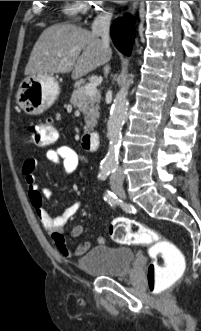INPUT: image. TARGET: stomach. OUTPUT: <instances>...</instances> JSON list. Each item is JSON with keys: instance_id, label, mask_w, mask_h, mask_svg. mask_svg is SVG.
Segmentation results:
<instances>
[{"instance_id": "1", "label": "stomach", "mask_w": 201, "mask_h": 331, "mask_svg": "<svg viewBox=\"0 0 201 331\" xmlns=\"http://www.w3.org/2000/svg\"><path fill=\"white\" fill-rule=\"evenodd\" d=\"M59 93V83L52 75H30L19 86L17 103L26 114L40 115L54 104Z\"/></svg>"}]
</instances>
